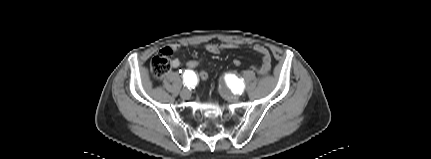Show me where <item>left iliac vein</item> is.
I'll return each mask as SVG.
<instances>
[{
  "instance_id": "1",
  "label": "left iliac vein",
  "mask_w": 431,
  "mask_h": 159,
  "mask_svg": "<svg viewBox=\"0 0 431 159\" xmlns=\"http://www.w3.org/2000/svg\"><path fill=\"white\" fill-rule=\"evenodd\" d=\"M222 93H223V96H224L228 101H231V102H235V101H237V100H238V98H239L237 95L232 94L231 92L227 91L226 89H223Z\"/></svg>"
}]
</instances>
